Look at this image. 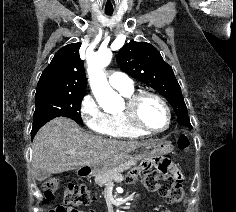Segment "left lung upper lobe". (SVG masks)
Listing matches in <instances>:
<instances>
[{
    "label": "left lung upper lobe",
    "mask_w": 236,
    "mask_h": 212,
    "mask_svg": "<svg viewBox=\"0 0 236 212\" xmlns=\"http://www.w3.org/2000/svg\"><path fill=\"white\" fill-rule=\"evenodd\" d=\"M117 63L128 75L163 95L172 105L177 122L191 127L180 85L172 68L154 46L147 42L130 41L118 52Z\"/></svg>",
    "instance_id": "left-lung-upper-lobe-1"
}]
</instances>
